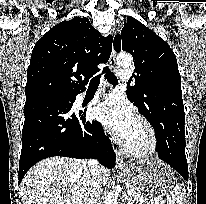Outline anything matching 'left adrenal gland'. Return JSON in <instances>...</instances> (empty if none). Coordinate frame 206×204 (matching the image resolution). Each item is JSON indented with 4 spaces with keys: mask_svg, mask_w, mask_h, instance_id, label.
I'll return each mask as SVG.
<instances>
[{
    "mask_svg": "<svg viewBox=\"0 0 206 204\" xmlns=\"http://www.w3.org/2000/svg\"><path fill=\"white\" fill-rule=\"evenodd\" d=\"M127 200H128V197H127L126 194H124V195H123V199H122V201L125 202V201H127ZM128 204H129V201H128Z\"/></svg>",
    "mask_w": 206,
    "mask_h": 204,
    "instance_id": "left-adrenal-gland-1",
    "label": "left adrenal gland"
}]
</instances>
